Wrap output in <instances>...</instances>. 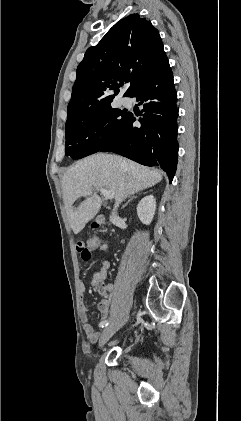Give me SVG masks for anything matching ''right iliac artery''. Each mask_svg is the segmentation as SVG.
<instances>
[{"mask_svg":"<svg viewBox=\"0 0 241 421\" xmlns=\"http://www.w3.org/2000/svg\"><path fill=\"white\" fill-rule=\"evenodd\" d=\"M108 324H109L108 320H105V321H102V322L99 324V326L103 328V327L108 326Z\"/></svg>","mask_w":241,"mask_h":421,"instance_id":"82829eb1","label":"right iliac artery"}]
</instances>
